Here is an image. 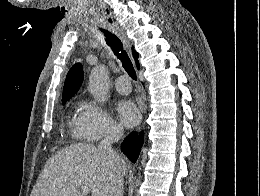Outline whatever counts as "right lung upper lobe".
Returning <instances> with one entry per match:
<instances>
[{
	"mask_svg": "<svg viewBox=\"0 0 260 196\" xmlns=\"http://www.w3.org/2000/svg\"><path fill=\"white\" fill-rule=\"evenodd\" d=\"M133 57L139 68L138 53L132 48ZM83 80V68L80 64H75L68 72L64 89H63V104L66 103L79 89Z\"/></svg>",
	"mask_w": 260,
	"mask_h": 196,
	"instance_id": "obj_1",
	"label": "right lung upper lobe"
}]
</instances>
